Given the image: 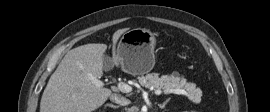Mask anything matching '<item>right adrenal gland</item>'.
Returning a JSON list of instances; mask_svg holds the SVG:
<instances>
[{"label": "right adrenal gland", "mask_w": 270, "mask_h": 112, "mask_svg": "<svg viewBox=\"0 0 270 112\" xmlns=\"http://www.w3.org/2000/svg\"><path fill=\"white\" fill-rule=\"evenodd\" d=\"M105 106L106 107L108 106V107H111V108H114V109L119 108V106H116V105H113V104H110V103L106 104Z\"/></svg>", "instance_id": "1"}]
</instances>
